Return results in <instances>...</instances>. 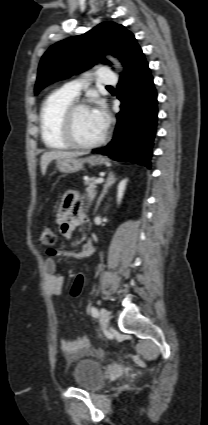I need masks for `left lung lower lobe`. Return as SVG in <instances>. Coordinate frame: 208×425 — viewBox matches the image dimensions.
<instances>
[{
  "label": "left lung lower lobe",
  "instance_id": "1",
  "mask_svg": "<svg viewBox=\"0 0 208 425\" xmlns=\"http://www.w3.org/2000/svg\"><path fill=\"white\" fill-rule=\"evenodd\" d=\"M117 93L122 105L114 137L106 147L93 152L150 168L157 125V94L144 55L120 77Z\"/></svg>",
  "mask_w": 208,
  "mask_h": 425
}]
</instances>
